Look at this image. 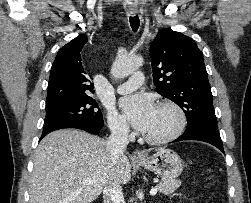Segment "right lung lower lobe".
<instances>
[{
    "mask_svg": "<svg viewBox=\"0 0 251 203\" xmlns=\"http://www.w3.org/2000/svg\"><path fill=\"white\" fill-rule=\"evenodd\" d=\"M64 128H76V129H81L84 131H87L92 134H98L100 130L102 129L101 127H98L96 125H93L87 121L80 120V119H66V120H61L53 123L46 124L43 133L41 135L40 140L46 136L48 133L59 130V129H64Z\"/></svg>",
    "mask_w": 251,
    "mask_h": 203,
    "instance_id": "1",
    "label": "right lung lower lobe"
}]
</instances>
